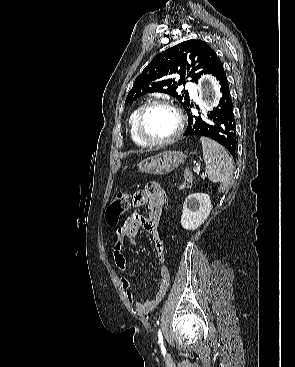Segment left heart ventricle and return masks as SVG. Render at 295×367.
<instances>
[{"label":"left heart ventricle","mask_w":295,"mask_h":367,"mask_svg":"<svg viewBox=\"0 0 295 367\" xmlns=\"http://www.w3.org/2000/svg\"><path fill=\"white\" fill-rule=\"evenodd\" d=\"M175 113L166 107L151 108L143 120V132L145 136L154 141H160L170 137L177 128Z\"/></svg>","instance_id":"1"}]
</instances>
